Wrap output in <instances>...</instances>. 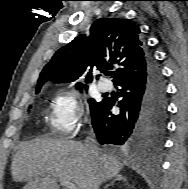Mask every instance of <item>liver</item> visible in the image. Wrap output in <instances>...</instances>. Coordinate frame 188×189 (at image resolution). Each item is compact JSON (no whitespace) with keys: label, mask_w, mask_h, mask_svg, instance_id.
I'll return each mask as SVG.
<instances>
[{"label":"liver","mask_w":188,"mask_h":189,"mask_svg":"<svg viewBox=\"0 0 188 189\" xmlns=\"http://www.w3.org/2000/svg\"><path fill=\"white\" fill-rule=\"evenodd\" d=\"M122 168L116 157L102 152L92 156L80 142L38 138L20 147L11 174L15 182H27L23 189H59L60 179L75 183L77 189H99Z\"/></svg>","instance_id":"1"}]
</instances>
